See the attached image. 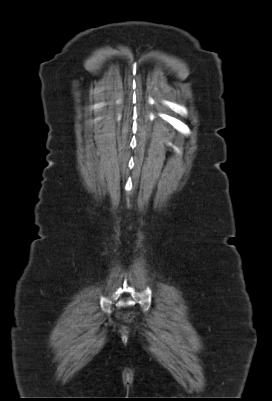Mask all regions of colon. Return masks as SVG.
<instances>
[{
  "label": "colon",
  "mask_w": 272,
  "mask_h": 401,
  "mask_svg": "<svg viewBox=\"0 0 272 401\" xmlns=\"http://www.w3.org/2000/svg\"><path fill=\"white\" fill-rule=\"evenodd\" d=\"M126 318H127V319H131L132 317H131L130 315H128Z\"/></svg>",
  "instance_id": "obj_1"
}]
</instances>
